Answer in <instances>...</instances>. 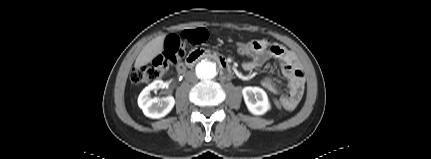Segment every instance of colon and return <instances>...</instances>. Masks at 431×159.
<instances>
[{
  "instance_id": "colon-1",
  "label": "colon",
  "mask_w": 431,
  "mask_h": 159,
  "mask_svg": "<svg viewBox=\"0 0 431 159\" xmlns=\"http://www.w3.org/2000/svg\"><path fill=\"white\" fill-rule=\"evenodd\" d=\"M206 39L207 32L204 29L188 30L181 35H169L164 41L163 52L154 58L150 64L138 67L133 71L131 75L132 82L139 86L158 80L171 65L185 56L188 44L197 45L203 43ZM247 52V46L239 45L235 48L237 55ZM271 100H274V97H271ZM273 106L278 112L283 110L280 100H274Z\"/></svg>"
}]
</instances>
